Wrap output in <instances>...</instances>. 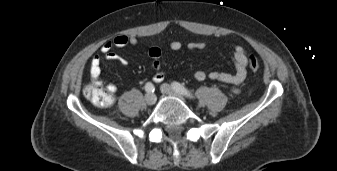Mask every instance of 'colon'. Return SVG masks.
<instances>
[{
  "label": "colon",
  "mask_w": 337,
  "mask_h": 171,
  "mask_svg": "<svg viewBox=\"0 0 337 171\" xmlns=\"http://www.w3.org/2000/svg\"><path fill=\"white\" fill-rule=\"evenodd\" d=\"M247 65L252 72L259 69V61L253 54L247 56ZM86 98L98 107H109L114 102L112 93L105 90L98 81H95L85 91Z\"/></svg>",
  "instance_id": "1"
}]
</instances>
